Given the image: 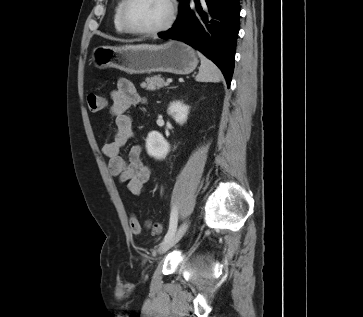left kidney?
<instances>
[{
    "mask_svg": "<svg viewBox=\"0 0 363 317\" xmlns=\"http://www.w3.org/2000/svg\"><path fill=\"white\" fill-rule=\"evenodd\" d=\"M167 113L180 125L187 120L189 107L181 101H173L170 103ZM147 153L156 159L164 158L170 151L169 143L157 131H152L146 139Z\"/></svg>",
    "mask_w": 363,
    "mask_h": 317,
    "instance_id": "obj_1",
    "label": "left kidney"
}]
</instances>
